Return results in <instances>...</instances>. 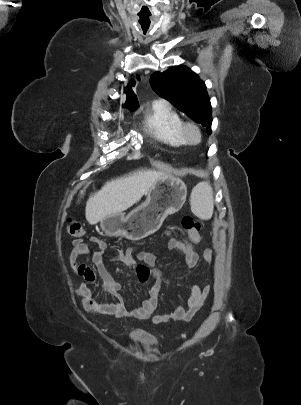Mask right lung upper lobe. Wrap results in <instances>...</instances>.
Returning a JSON list of instances; mask_svg holds the SVG:
<instances>
[{"instance_id":"obj_1","label":"right lung upper lobe","mask_w":301,"mask_h":405,"mask_svg":"<svg viewBox=\"0 0 301 405\" xmlns=\"http://www.w3.org/2000/svg\"><path fill=\"white\" fill-rule=\"evenodd\" d=\"M137 78L139 79V77L137 76ZM130 84L132 86L135 85V81L131 80ZM126 95H127V101L125 102L124 107L130 109V110H135L138 107V101H137V97L134 94V92L132 91L130 86H127L126 88Z\"/></svg>"}]
</instances>
